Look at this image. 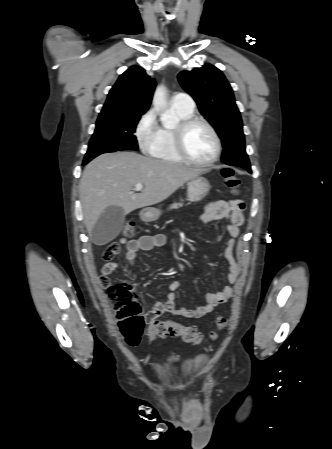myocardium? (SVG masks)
<instances>
[{"label":"myocardium","instance_id":"obj_1","mask_svg":"<svg viewBox=\"0 0 332 449\" xmlns=\"http://www.w3.org/2000/svg\"><path fill=\"white\" fill-rule=\"evenodd\" d=\"M196 124L204 125L210 131V133L214 139V142H215L214 155L212 156L211 159H209L207 161H199V160L192 158L188 154L186 147H185L186 131L191 126L196 125ZM173 143H174V148H175L176 153L183 161H185L189 164L195 165V166H199V167H208V166H211L214 163H216L218 161V159L220 158L221 151H222L221 139H220L218 132L216 131V129L210 122H208L207 120L200 118V117H189L187 119L178 121L175 124V126L173 127Z\"/></svg>","mask_w":332,"mask_h":449}]
</instances>
